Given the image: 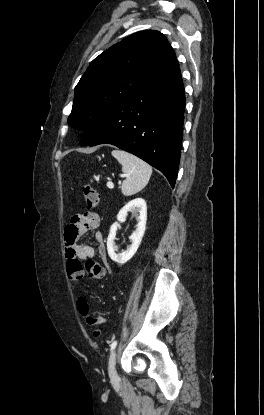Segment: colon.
<instances>
[{"mask_svg": "<svg viewBox=\"0 0 264 415\" xmlns=\"http://www.w3.org/2000/svg\"><path fill=\"white\" fill-rule=\"evenodd\" d=\"M82 191L89 209H93L99 205L100 195L92 186L86 184L83 186ZM68 272L74 276L75 280L80 279L83 272H85L91 279H101L104 276L103 266L92 260H89L85 265L73 260L68 264ZM77 309L85 318L89 326L98 327L103 323L102 316L99 313L90 310V306L84 297H80L78 299ZM93 335L95 337H99L101 335V331L96 328Z\"/></svg>", "mask_w": 264, "mask_h": 415, "instance_id": "1", "label": "colon"}]
</instances>
